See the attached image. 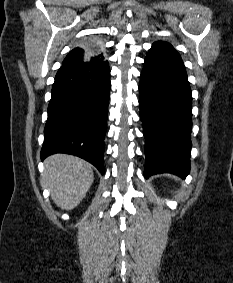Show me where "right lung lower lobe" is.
Segmentation results:
<instances>
[{"mask_svg": "<svg viewBox=\"0 0 233 283\" xmlns=\"http://www.w3.org/2000/svg\"><path fill=\"white\" fill-rule=\"evenodd\" d=\"M108 61L62 65L52 87L41 159L81 157L104 173V137L110 92Z\"/></svg>", "mask_w": 233, "mask_h": 283, "instance_id": "1", "label": "right lung lower lobe"}]
</instances>
